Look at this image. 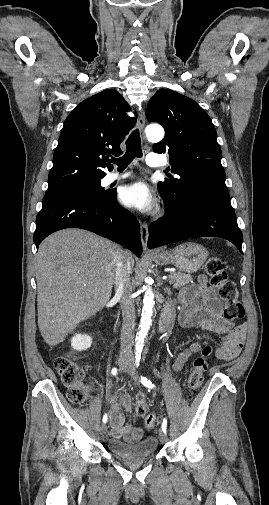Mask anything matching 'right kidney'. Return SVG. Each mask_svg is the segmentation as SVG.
I'll list each match as a JSON object with an SVG mask.
<instances>
[{"label":"right kidney","instance_id":"1","mask_svg":"<svg viewBox=\"0 0 269 505\" xmlns=\"http://www.w3.org/2000/svg\"><path fill=\"white\" fill-rule=\"evenodd\" d=\"M92 345V338L88 335L75 334L71 339V346L74 350L83 351L90 348Z\"/></svg>","mask_w":269,"mask_h":505}]
</instances>
